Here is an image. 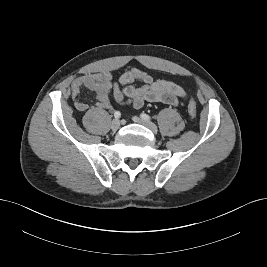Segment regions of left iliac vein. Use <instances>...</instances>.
Returning a JSON list of instances; mask_svg holds the SVG:
<instances>
[{
	"mask_svg": "<svg viewBox=\"0 0 267 267\" xmlns=\"http://www.w3.org/2000/svg\"><path fill=\"white\" fill-rule=\"evenodd\" d=\"M133 121L138 123V124H142L144 126H146L147 128H149L154 134H156L158 132V129H157V126L150 122V121H146V120H143V119H140L139 117L137 116H134L133 117Z\"/></svg>",
	"mask_w": 267,
	"mask_h": 267,
	"instance_id": "1",
	"label": "left iliac vein"
}]
</instances>
